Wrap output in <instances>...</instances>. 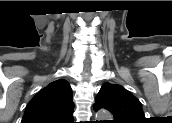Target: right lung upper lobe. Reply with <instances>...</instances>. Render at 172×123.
<instances>
[{
    "label": "right lung upper lobe",
    "instance_id": "right-lung-upper-lobe-1",
    "mask_svg": "<svg viewBox=\"0 0 172 123\" xmlns=\"http://www.w3.org/2000/svg\"><path fill=\"white\" fill-rule=\"evenodd\" d=\"M73 109L71 87L59 79L30 100L21 123H73Z\"/></svg>",
    "mask_w": 172,
    "mask_h": 123
}]
</instances>
